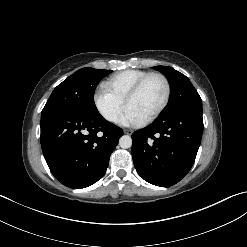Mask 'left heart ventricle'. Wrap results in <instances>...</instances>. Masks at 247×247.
I'll return each mask as SVG.
<instances>
[{
  "label": "left heart ventricle",
  "mask_w": 247,
  "mask_h": 247,
  "mask_svg": "<svg viewBox=\"0 0 247 247\" xmlns=\"http://www.w3.org/2000/svg\"><path fill=\"white\" fill-rule=\"evenodd\" d=\"M166 93L165 84L159 77L150 78L128 103L144 119L150 116L163 102Z\"/></svg>",
  "instance_id": "left-heart-ventricle-1"
}]
</instances>
